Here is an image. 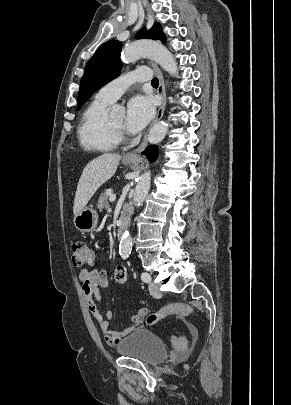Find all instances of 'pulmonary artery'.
I'll list each match as a JSON object with an SVG mask.
<instances>
[{"label": "pulmonary artery", "instance_id": "obj_1", "mask_svg": "<svg viewBox=\"0 0 291 405\" xmlns=\"http://www.w3.org/2000/svg\"><path fill=\"white\" fill-rule=\"evenodd\" d=\"M151 79L152 71L149 68H139L134 71L127 72L103 86L96 94V97L112 103L117 100L133 83L146 82Z\"/></svg>", "mask_w": 291, "mask_h": 405}]
</instances>
